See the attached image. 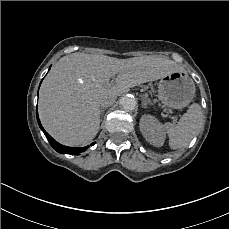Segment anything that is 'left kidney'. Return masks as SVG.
Returning <instances> with one entry per match:
<instances>
[{"instance_id": "left-kidney-1", "label": "left kidney", "mask_w": 229, "mask_h": 229, "mask_svg": "<svg viewBox=\"0 0 229 229\" xmlns=\"http://www.w3.org/2000/svg\"><path fill=\"white\" fill-rule=\"evenodd\" d=\"M140 131L153 146H163L166 137L164 126L155 117L143 115L140 119Z\"/></svg>"}]
</instances>
